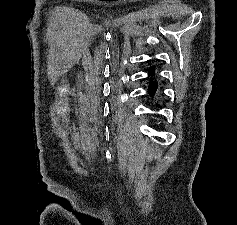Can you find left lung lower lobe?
Here are the masks:
<instances>
[{
  "mask_svg": "<svg viewBox=\"0 0 237 225\" xmlns=\"http://www.w3.org/2000/svg\"><path fill=\"white\" fill-rule=\"evenodd\" d=\"M157 88H158V85H157L156 82H151L149 84L148 92H149L151 97L155 95Z\"/></svg>",
  "mask_w": 237,
  "mask_h": 225,
  "instance_id": "1",
  "label": "left lung lower lobe"
}]
</instances>
